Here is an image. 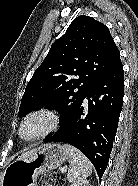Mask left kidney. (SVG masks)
Masks as SVG:
<instances>
[{
	"label": "left kidney",
	"mask_w": 138,
	"mask_h": 186,
	"mask_svg": "<svg viewBox=\"0 0 138 186\" xmlns=\"http://www.w3.org/2000/svg\"><path fill=\"white\" fill-rule=\"evenodd\" d=\"M70 186H91V185L89 184V181L87 180H80V181L73 183Z\"/></svg>",
	"instance_id": "5707ae66"
}]
</instances>
